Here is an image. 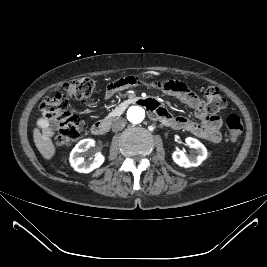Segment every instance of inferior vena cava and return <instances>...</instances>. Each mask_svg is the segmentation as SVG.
<instances>
[{
  "label": "inferior vena cava",
  "instance_id": "obj_1",
  "mask_svg": "<svg viewBox=\"0 0 267 267\" xmlns=\"http://www.w3.org/2000/svg\"><path fill=\"white\" fill-rule=\"evenodd\" d=\"M126 121L124 119H118L112 124V130L114 132L120 131L125 127Z\"/></svg>",
  "mask_w": 267,
  "mask_h": 267
}]
</instances>
